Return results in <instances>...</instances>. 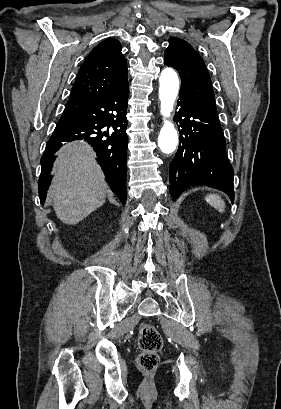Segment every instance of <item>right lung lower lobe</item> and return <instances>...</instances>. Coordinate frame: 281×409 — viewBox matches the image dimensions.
<instances>
[{
  "label": "right lung lower lobe",
  "mask_w": 281,
  "mask_h": 409,
  "mask_svg": "<svg viewBox=\"0 0 281 409\" xmlns=\"http://www.w3.org/2000/svg\"><path fill=\"white\" fill-rule=\"evenodd\" d=\"M128 83L116 90L90 100L68 101L63 115L48 141L41 158L42 170L38 182L39 197L43 204L48 186L46 182L53 165L52 155L62 142L84 139L99 158L106 179L122 204L126 202L127 158V102Z\"/></svg>",
  "instance_id": "1"
}]
</instances>
